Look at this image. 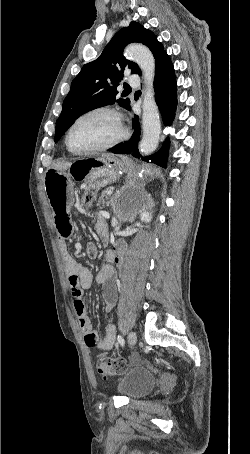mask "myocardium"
Listing matches in <instances>:
<instances>
[{"label": "myocardium", "instance_id": "obj_1", "mask_svg": "<svg viewBox=\"0 0 250 454\" xmlns=\"http://www.w3.org/2000/svg\"><path fill=\"white\" fill-rule=\"evenodd\" d=\"M97 113H107V114L112 115L115 118V120L117 122V125H118V128H119L118 135L115 138H113L112 140H110L109 142H107V143H105L103 145L97 146V147H93V148H90V149H84V150L75 149L71 145V142H70V136H71V133H72L74 127L81 120H83L84 118H86L88 116H91L93 114H97ZM127 135H128V131H127V128H126V126H125V124L123 122L121 114L116 109H114L112 107L99 106V107L92 108V109L82 113L80 116H78L74 120V122L70 125V127H69V129L67 131L65 142H66V145H67L68 149L72 153H75V154H92V153H96V152L106 151V150H109V149L115 147L116 145H118L122 141H124L126 139Z\"/></svg>", "mask_w": 250, "mask_h": 454}]
</instances>
